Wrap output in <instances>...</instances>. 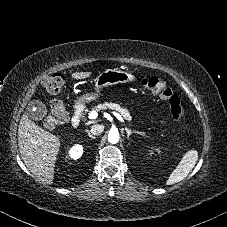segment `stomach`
Segmentation results:
<instances>
[{"mask_svg": "<svg viewBox=\"0 0 227 227\" xmlns=\"http://www.w3.org/2000/svg\"><path fill=\"white\" fill-rule=\"evenodd\" d=\"M136 81L137 77L126 70L120 68L105 69L104 71L100 72L95 79L96 92L81 95L80 97H78L77 103L84 104L95 100L99 96V92L109 86H113L116 84L133 83Z\"/></svg>", "mask_w": 227, "mask_h": 227, "instance_id": "obj_1", "label": "stomach"}]
</instances>
